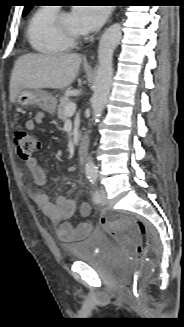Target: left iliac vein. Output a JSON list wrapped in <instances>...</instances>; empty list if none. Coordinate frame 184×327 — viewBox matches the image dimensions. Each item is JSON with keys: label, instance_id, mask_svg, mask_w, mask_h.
Here are the masks:
<instances>
[{"label": "left iliac vein", "instance_id": "left-iliac-vein-1", "mask_svg": "<svg viewBox=\"0 0 184 327\" xmlns=\"http://www.w3.org/2000/svg\"><path fill=\"white\" fill-rule=\"evenodd\" d=\"M99 194H100V203L102 205L106 204L107 203V196H106L105 190L104 189H101L100 192H99Z\"/></svg>", "mask_w": 184, "mask_h": 327}]
</instances>
